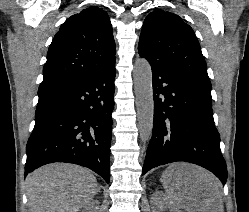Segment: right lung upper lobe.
<instances>
[{"instance_id": "obj_1", "label": "right lung upper lobe", "mask_w": 249, "mask_h": 212, "mask_svg": "<svg viewBox=\"0 0 249 212\" xmlns=\"http://www.w3.org/2000/svg\"><path fill=\"white\" fill-rule=\"evenodd\" d=\"M115 63V42L106 11L89 7L68 18L54 36L38 93L94 76Z\"/></svg>"}]
</instances>
